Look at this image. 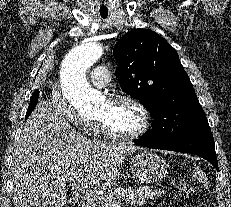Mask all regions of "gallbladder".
<instances>
[{"instance_id":"obj_1","label":"gallbladder","mask_w":231,"mask_h":207,"mask_svg":"<svg viewBox=\"0 0 231 207\" xmlns=\"http://www.w3.org/2000/svg\"><path fill=\"white\" fill-rule=\"evenodd\" d=\"M72 202V200H69V203H71ZM74 202V201H73Z\"/></svg>"}]
</instances>
